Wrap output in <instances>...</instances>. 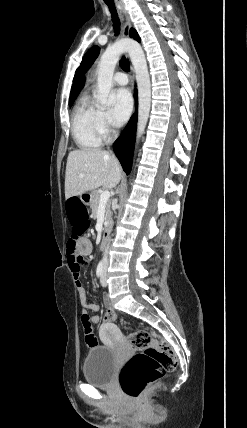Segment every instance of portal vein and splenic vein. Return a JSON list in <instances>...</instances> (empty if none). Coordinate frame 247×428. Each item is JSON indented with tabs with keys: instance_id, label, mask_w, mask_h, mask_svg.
<instances>
[{
	"instance_id": "18ae733b",
	"label": "portal vein and splenic vein",
	"mask_w": 247,
	"mask_h": 428,
	"mask_svg": "<svg viewBox=\"0 0 247 428\" xmlns=\"http://www.w3.org/2000/svg\"><path fill=\"white\" fill-rule=\"evenodd\" d=\"M110 198L109 191H103L100 195V203H106Z\"/></svg>"
}]
</instances>
